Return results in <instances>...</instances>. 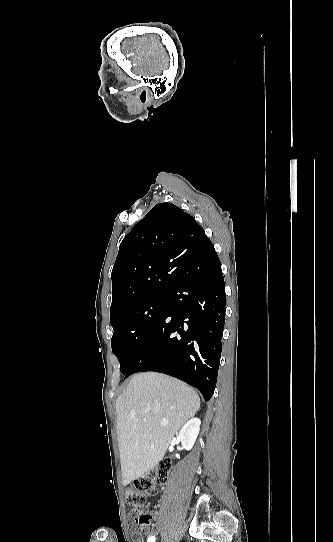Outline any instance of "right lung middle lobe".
<instances>
[{"label":"right lung middle lobe","instance_id":"obj_1","mask_svg":"<svg viewBox=\"0 0 333 542\" xmlns=\"http://www.w3.org/2000/svg\"><path fill=\"white\" fill-rule=\"evenodd\" d=\"M168 294L130 306L111 317L114 329L111 347L120 363V371L126 374L140 349L153 332L168 306Z\"/></svg>","mask_w":333,"mask_h":542}]
</instances>
